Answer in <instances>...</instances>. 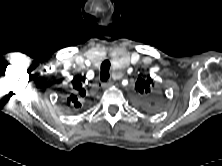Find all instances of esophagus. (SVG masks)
Here are the masks:
<instances>
[{"label":"esophagus","instance_id":"obj_1","mask_svg":"<svg viewBox=\"0 0 222 166\" xmlns=\"http://www.w3.org/2000/svg\"><path fill=\"white\" fill-rule=\"evenodd\" d=\"M111 85H112L111 82H103V83L101 84L102 88H104V89L110 87Z\"/></svg>","mask_w":222,"mask_h":166}]
</instances>
